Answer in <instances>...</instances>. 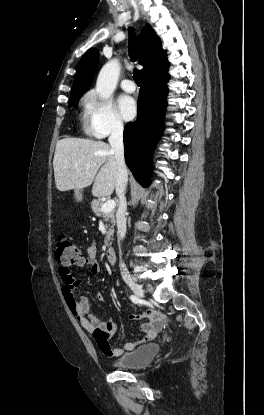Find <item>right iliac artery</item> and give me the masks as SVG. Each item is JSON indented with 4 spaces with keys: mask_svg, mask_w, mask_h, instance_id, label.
Masks as SVG:
<instances>
[{
    "mask_svg": "<svg viewBox=\"0 0 264 415\" xmlns=\"http://www.w3.org/2000/svg\"><path fill=\"white\" fill-rule=\"evenodd\" d=\"M130 299H131V301H132L133 303H135V304H137V303L139 302L138 297H136V296H134V295H131V296H130Z\"/></svg>",
    "mask_w": 264,
    "mask_h": 415,
    "instance_id": "right-iliac-artery-1",
    "label": "right iliac artery"
}]
</instances>
